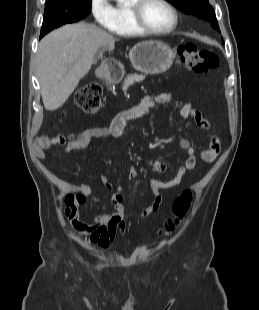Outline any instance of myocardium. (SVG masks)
Here are the masks:
<instances>
[{"label":"myocardium","instance_id":"f54148a6","mask_svg":"<svg viewBox=\"0 0 259 310\" xmlns=\"http://www.w3.org/2000/svg\"><path fill=\"white\" fill-rule=\"evenodd\" d=\"M149 1L150 0H134V2L130 5L129 13L135 28L140 33L153 36H165L175 31L179 25V13L176 7L169 0H158L163 3L173 15V23L169 28L165 30H155L145 23L143 18V10Z\"/></svg>","mask_w":259,"mask_h":310}]
</instances>
